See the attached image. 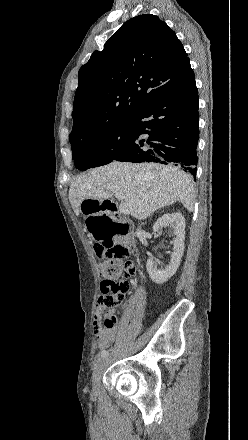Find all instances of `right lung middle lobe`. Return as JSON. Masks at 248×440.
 <instances>
[{"mask_svg":"<svg viewBox=\"0 0 248 440\" xmlns=\"http://www.w3.org/2000/svg\"><path fill=\"white\" fill-rule=\"evenodd\" d=\"M133 132L129 119L99 135L72 139V158L81 171L118 160L128 149Z\"/></svg>","mask_w":248,"mask_h":440,"instance_id":"obj_1","label":"right lung middle lobe"}]
</instances>
